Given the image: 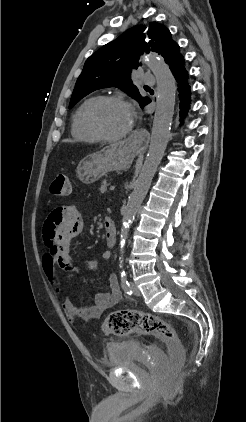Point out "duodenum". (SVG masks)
<instances>
[{
	"label": "duodenum",
	"mask_w": 246,
	"mask_h": 422,
	"mask_svg": "<svg viewBox=\"0 0 246 422\" xmlns=\"http://www.w3.org/2000/svg\"><path fill=\"white\" fill-rule=\"evenodd\" d=\"M105 239L108 247L112 248L116 244V228L114 222L107 218L104 222Z\"/></svg>",
	"instance_id": "1"
}]
</instances>
